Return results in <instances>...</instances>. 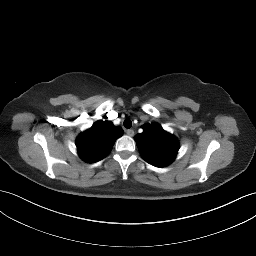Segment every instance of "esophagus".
I'll return each instance as SVG.
<instances>
[{"instance_id": "esophagus-1", "label": "esophagus", "mask_w": 256, "mask_h": 256, "mask_svg": "<svg viewBox=\"0 0 256 256\" xmlns=\"http://www.w3.org/2000/svg\"><path fill=\"white\" fill-rule=\"evenodd\" d=\"M126 134L128 135V136H134V130H132V129H128V130H126Z\"/></svg>"}]
</instances>
